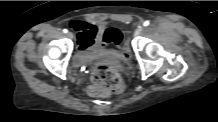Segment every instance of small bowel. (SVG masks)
Segmentation results:
<instances>
[{"label": "small bowel", "mask_w": 218, "mask_h": 122, "mask_svg": "<svg viewBox=\"0 0 218 122\" xmlns=\"http://www.w3.org/2000/svg\"><path fill=\"white\" fill-rule=\"evenodd\" d=\"M69 26L77 33V45L80 51L92 49L95 54H100L104 51L101 46L103 28H98L96 25L85 21H70ZM125 44L126 39L122 47L115 52L122 50Z\"/></svg>", "instance_id": "small-bowel-1"}]
</instances>
